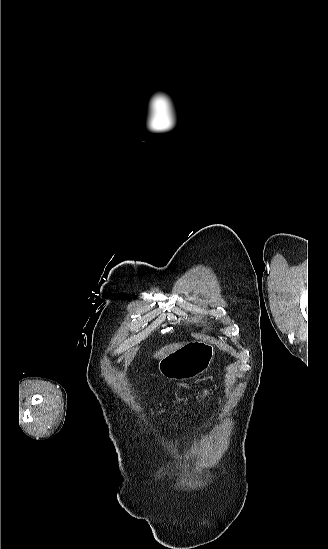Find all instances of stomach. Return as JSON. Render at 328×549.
<instances>
[{"label":"stomach","mask_w":328,"mask_h":549,"mask_svg":"<svg viewBox=\"0 0 328 549\" xmlns=\"http://www.w3.org/2000/svg\"><path fill=\"white\" fill-rule=\"evenodd\" d=\"M215 357L211 341H190L158 363L159 373L171 381H189L208 371Z\"/></svg>","instance_id":"obj_1"}]
</instances>
